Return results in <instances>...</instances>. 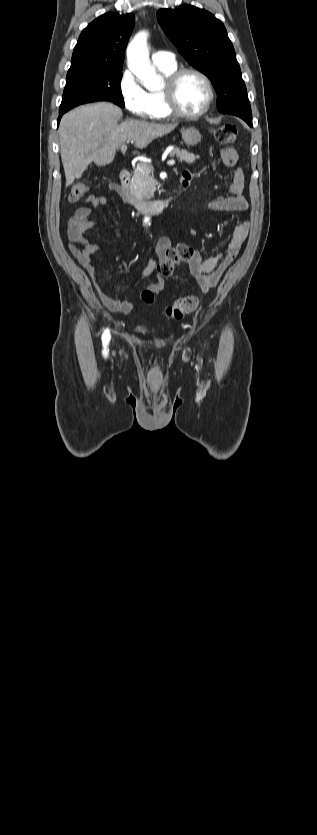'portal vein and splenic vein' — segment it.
<instances>
[{
  "label": "portal vein and splenic vein",
  "instance_id": "18ae733b",
  "mask_svg": "<svg viewBox=\"0 0 317 835\" xmlns=\"http://www.w3.org/2000/svg\"><path fill=\"white\" fill-rule=\"evenodd\" d=\"M126 151H127V146H126L125 144H123V145L121 146V152L124 154ZM167 165H169V166H174V165H175V161H174V160H170V161H168V162H167ZM137 169H138V170H140V171H145V170H146V167H145V165H143V164H137Z\"/></svg>",
  "mask_w": 317,
  "mask_h": 835
}]
</instances>
